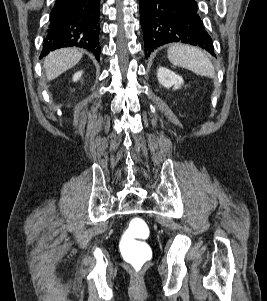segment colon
I'll list each match as a JSON object with an SVG mask.
<instances>
[{"label":"colon","instance_id":"1","mask_svg":"<svg viewBox=\"0 0 267 301\" xmlns=\"http://www.w3.org/2000/svg\"><path fill=\"white\" fill-rule=\"evenodd\" d=\"M149 236V227L145 220L134 217L121 240V253L125 261L135 270L140 271L151 259L150 246L145 242Z\"/></svg>","mask_w":267,"mask_h":301}]
</instances>
